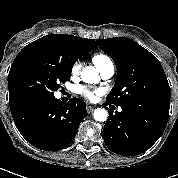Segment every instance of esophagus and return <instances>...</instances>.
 <instances>
[{
    "mask_svg": "<svg viewBox=\"0 0 178 178\" xmlns=\"http://www.w3.org/2000/svg\"><path fill=\"white\" fill-rule=\"evenodd\" d=\"M95 107H96L95 105H93L91 103H87V111H88V113H91L94 110Z\"/></svg>",
    "mask_w": 178,
    "mask_h": 178,
    "instance_id": "1",
    "label": "esophagus"
}]
</instances>
